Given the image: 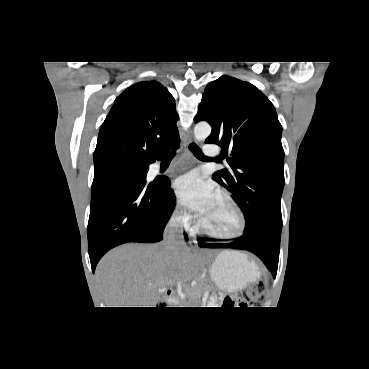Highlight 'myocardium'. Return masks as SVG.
I'll list each match as a JSON object with an SVG mask.
<instances>
[{
  "mask_svg": "<svg viewBox=\"0 0 369 369\" xmlns=\"http://www.w3.org/2000/svg\"><path fill=\"white\" fill-rule=\"evenodd\" d=\"M217 195L219 197H221L223 200H225L236 212L237 216H238V228L237 230L229 235H223V234H219L216 233L212 230H210L209 228H207L201 221V219L198 220L197 223V228L204 234H206L207 236L214 238V239H219V240H234V239H238L240 237L243 236L245 230H246V217L244 214V211L242 210V208L240 207V205L236 202V200L227 192L225 191H219L217 192Z\"/></svg>",
  "mask_w": 369,
  "mask_h": 369,
  "instance_id": "1",
  "label": "myocardium"
}]
</instances>
